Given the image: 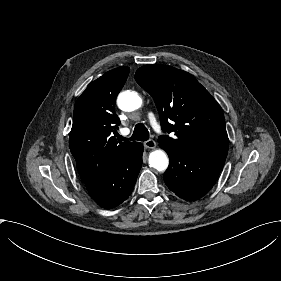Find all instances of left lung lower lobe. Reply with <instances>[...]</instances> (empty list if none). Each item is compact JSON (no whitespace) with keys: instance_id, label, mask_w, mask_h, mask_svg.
<instances>
[{"instance_id":"obj_1","label":"left lung lower lobe","mask_w":281,"mask_h":281,"mask_svg":"<svg viewBox=\"0 0 281 281\" xmlns=\"http://www.w3.org/2000/svg\"><path fill=\"white\" fill-rule=\"evenodd\" d=\"M159 146L170 159L164 173L166 185L177 196L188 201L197 200L209 192L226 160L224 157L187 155L169 145Z\"/></svg>"}]
</instances>
